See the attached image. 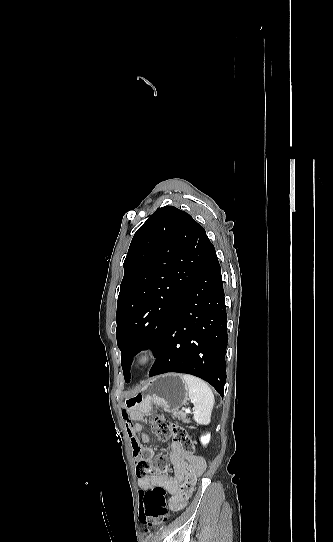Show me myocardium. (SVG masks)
<instances>
[{
  "mask_svg": "<svg viewBox=\"0 0 333 542\" xmlns=\"http://www.w3.org/2000/svg\"><path fill=\"white\" fill-rule=\"evenodd\" d=\"M155 357V350L152 347H145L140 350L134 360V366L137 369L148 367Z\"/></svg>",
  "mask_w": 333,
  "mask_h": 542,
  "instance_id": "myocardium-1",
  "label": "myocardium"
}]
</instances>
